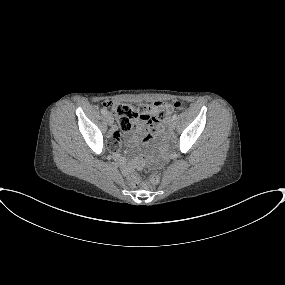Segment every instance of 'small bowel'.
I'll list each match as a JSON object with an SVG mask.
<instances>
[{
	"mask_svg": "<svg viewBox=\"0 0 285 285\" xmlns=\"http://www.w3.org/2000/svg\"><path fill=\"white\" fill-rule=\"evenodd\" d=\"M155 125L154 121H146L143 123H140L138 125L135 126V135L130 139V143L133 144L135 143L137 140H139L142 136L144 135H150L152 132V128ZM158 128L161 129V126L158 125ZM127 135L123 132H120L118 130H114L112 132V135L109 137V139L107 140L106 143V147L107 149L111 150V151H115L117 150L120 145H121V137H126ZM116 160L124 167L125 163L124 161L119 158L116 157ZM136 183V179L134 176H131L129 178V184L131 186H134Z\"/></svg>",
	"mask_w": 285,
	"mask_h": 285,
	"instance_id": "obj_1",
	"label": "small bowel"
}]
</instances>
